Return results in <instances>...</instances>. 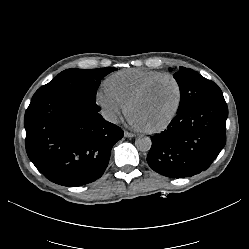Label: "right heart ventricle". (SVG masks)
Masks as SVG:
<instances>
[{
  "label": "right heart ventricle",
  "instance_id": "1",
  "mask_svg": "<svg viewBox=\"0 0 249 249\" xmlns=\"http://www.w3.org/2000/svg\"><path fill=\"white\" fill-rule=\"evenodd\" d=\"M162 73V71L152 69H124L109 75L104 81V87L128 103L145 82Z\"/></svg>",
  "mask_w": 249,
  "mask_h": 249
}]
</instances>
